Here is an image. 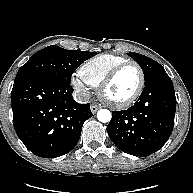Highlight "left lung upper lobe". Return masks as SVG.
Wrapping results in <instances>:
<instances>
[{"label": "left lung upper lobe", "mask_w": 193, "mask_h": 193, "mask_svg": "<svg viewBox=\"0 0 193 193\" xmlns=\"http://www.w3.org/2000/svg\"><path fill=\"white\" fill-rule=\"evenodd\" d=\"M128 55L141 66L145 77V83L152 79L157 73L164 71L159 63L149 57L134 52H130Z\"/></svg>", "instance_id": "left-lung-upper-lobe-1"}]
</instances>
